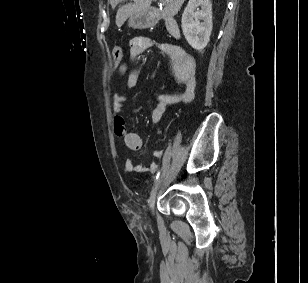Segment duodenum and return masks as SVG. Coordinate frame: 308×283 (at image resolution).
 Segmentation results:
<instances>
[{"instance_id": "obj_1", "label": "duodenum", "mask_w": 308, "mask_h": 283, "mask_svg": "<svg viewBox=\"0 0 308 283\" xmlns=\"http://www.w3.org/2000/svg\"><path fill=\"white\" fill-rule=\"evenodd\" d=\"M160 20H164L166 29L172 37L174 38L180 37V29L177 21L172 17L162 16V14L156 10L151 9L147 11L144 23L146 25H155Z\"/></svg>"}]
</instances>
